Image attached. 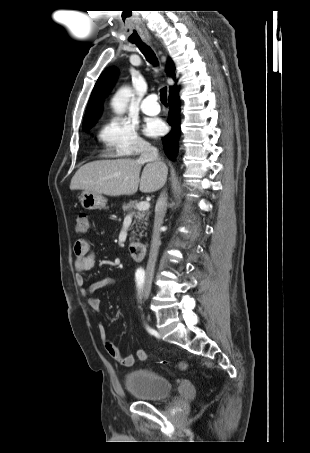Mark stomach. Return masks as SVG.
Listing matches in <instances>:
<instances>
[{"label":"stomach","instance_id":"obj_1","mask_svg":"<svg viewBox=\"0 0 310 453\" xmlns=\"http://www.w3.org/2000/svg\"><path fill=\"white\" fill-rule=\"evenodd\" d=\"M80 202L82 207L86 210H101L106 208V199L102 196V194L95 192H82Z\"/></svg>","mask_w":310,"mask_h":453}]
</instances>
